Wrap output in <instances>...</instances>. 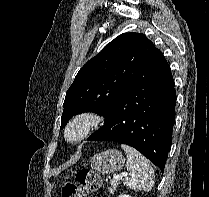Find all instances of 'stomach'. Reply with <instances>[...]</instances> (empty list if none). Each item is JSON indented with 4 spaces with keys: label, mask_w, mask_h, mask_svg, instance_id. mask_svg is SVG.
<instances>
[{
    "label": "stomach",
    "mask_w": 209,
    "mask_h": 197,
    "mask_svg": "<svg viewBox=\"0 0 209 197\" xmlns=\"http://www.w3.org/2000/svg\"><path fill=\"white\" fill-rule=\"evenodd\" d=\"M123 164L122 153L114 149L95 154L90 160L92 170L103 175L119 171Z\"/></svg>",
    "instance_id": "stomach-1"
}]
</instances>
